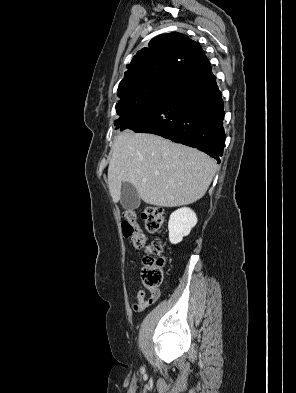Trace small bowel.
I'll return each instance as SVG.
<instances>
[{"label": "small bowel", "instance_id": "obj_1", "mask_svg": "<svg viewBox=\"0 0 296 393\" xmlns=\"http://www.w3.org/2000/svg\"><path fill=\"white\" fill-rule=\"evenodd\" d=\"M159 297V291L155 295H150L146 297L144 290H139L136 295V302L133 303V309L136 312H141L145 310L148 306L153 304Z\"/></svg>", "mask_w": 296, "mask_h": 393}]
</instances>
